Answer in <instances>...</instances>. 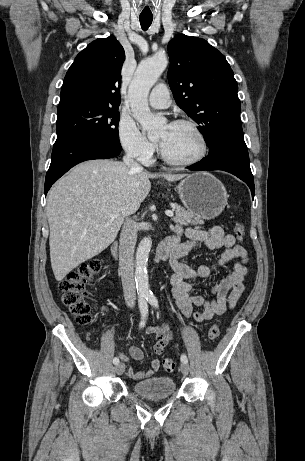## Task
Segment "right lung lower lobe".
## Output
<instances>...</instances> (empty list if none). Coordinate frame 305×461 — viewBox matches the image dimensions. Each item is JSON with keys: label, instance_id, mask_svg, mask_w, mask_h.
Returning <instances> with one entry per match:
<instances>
[{"label": "right lung lower lobe", "instance_id": "obj_1", "mask_svg": "<svg viewBox=\"0 0 305 461\" xmlns=\"http://www.w3.org/2000/svg\"><path fill=\"white\" fill-rule=\"evenodd\" d=\"M120 151L121 148L94 138L55 142L45 179V195L52 184L76 164L91 159L113 158Z\"/></svg>", "mask_w": 305, "mask_h": 461}]
</instances>
